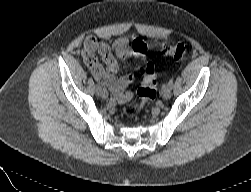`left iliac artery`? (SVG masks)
Listing matches in <instances>:
<instances>
[{"mask_svg": "<svg viewBox=\"0 0 251 192\" xmlns=\"http://www.w3.org/2000/svg\"><path fill=\"white\" fill-rule=\"evenodd\" d=\"M173 82H174V80H173V79H170L169 82H168V85H169L170 87H172V86H173Z\"/></svg>", "mask_w": 251, "mask_h": 192, "instance_id": "44dca946", "label": "left iliac artery"}]
</instances>
